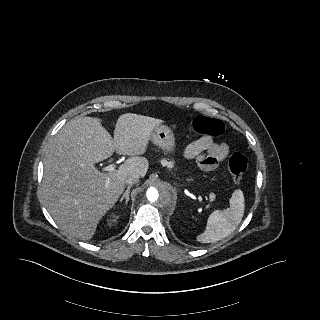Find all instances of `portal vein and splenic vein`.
I'll list each match as a JSON object with an SVG mask.
<instances>
[{"label": "portal vein and splenic vein", "mask_w": 320, "mask_h": 320, "mask_svg": "<svg viewBox=\"0 0 320 320\" xmlns=\"http://www.w3.org/2000/svg\"><path fill=\"white\" fill-rule=\"evenodd\" d=\"M105 171L112 172L115 170V163L110 164L109 166L104 168Z\"/></svg>", "instance_id": "1"}]
</instances>
